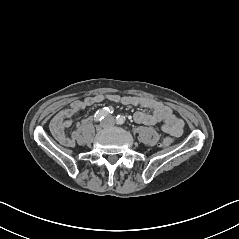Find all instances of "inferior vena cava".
I'll return each mask as SVG.
<instances>
[{"instance_id":"inferior-vena-cava-1","label":"inferior vena cava","mask_w":239,"mask_h":239,"mask_svg":"<svg viewBox=\"0 0 239 239\" xmlns=\"http://www.w3.org/2000/svg\"><path fill=\"white\" fill-rule=\"evenodd\" d=\"M113 124H114V119L111 116H106L105 119L100 120V125L103 128H109L113 126Z\"/></svg>"}]
</instances>
